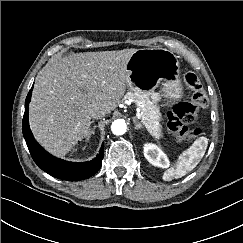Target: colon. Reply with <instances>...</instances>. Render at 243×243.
Returning <instances> with one entry per match:
<instances>
[{
  "label": "colon",
  "mask_w": 243,
  "mask_h": 243,
  "mask_svg": "<svg viewBox=\"0 0 243 243\" xmlns=\"http://www.w3.org/2000/svg\"><path fill=\"white\" fill-rule=\"evenodd\" d=\"M184 81L192 91L191 100L177 104L168 114L169 127L185 139H194L201 135L200 129H191L198 111L208 105L206 91L199 79L193 72H187Z\"/></svg>",
  "instance_id": "obj_1"
}]
</instances>
